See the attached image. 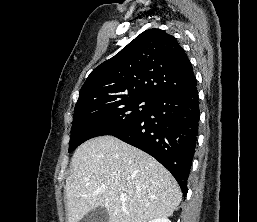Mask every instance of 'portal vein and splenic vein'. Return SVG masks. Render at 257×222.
Returning <instances> with one entry per match:
<instances>
[{
    "instance_id": "portal-vein-and-splenic-vein-1",
    "label": "portal vein and splenic vein",
    "mask_w": 257,
    "mask_h": 222,
    "mask_svg": "<svg viewBox=\"0 0 257 222\" xmlns=\"http://www.w3.org/2000/svg\"><path fill=\"white\" fill-rule=\"evenodd\" d=\"M120 199H121L122 201L126 200V199H127V195H126V194H121V195H120Z\"/></svg>"
}]
</instances>
